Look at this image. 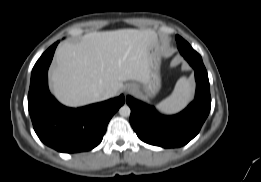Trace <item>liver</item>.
I'll list each match as a JSON object with an SVG mask.
<instances>
[{
    "label": "liver",
    "instance_id": "liver-1",
    "mask_svg": "<svg viewBox=\"0 0 261 182\" xmlns=\"http://www.w3.org/2000/svg\"><path fill=\"white\" fill-rule=\"evenodd\" d=\"M157 43L153 30L119 29L85 34L77 44L65 42L55 53L51 86L56 98L77 107L104 100L123 82L146 84L150 78L148 48Z\"/></svg>",
    "mask_w": 261,
    "mask_h": 182
}]
</instances>
